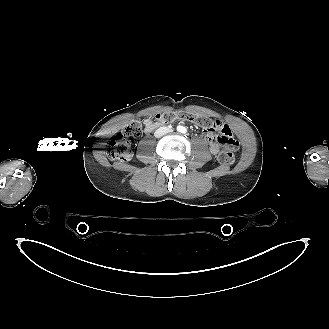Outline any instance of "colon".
Wrapping results in <instances>:
<instances>
[{
  "instance_id": "1",
  "label": "colon",
  "mask_w": 329,
  "mask_h": 329,
  "mask_svg": "<svg viewBox=\"0 0 329 329\" xmlns=\"http://www.w3.org/2000/svg\"><path fill=\"white\" fill-rule=\"evenodd\" d=\"M176 120H184L203 128L206 131H220V142L223 147L218 154V160L224 165H232L235 160V151L238 143L224 132L221 123L202 114L190 112H163L155 115L156 123H170ZM143 131L140 120H133L125 128L109 141L108 155L112 160L127 162L132 158V146L135 138Z\"/></svg>"
}]
</instances>
